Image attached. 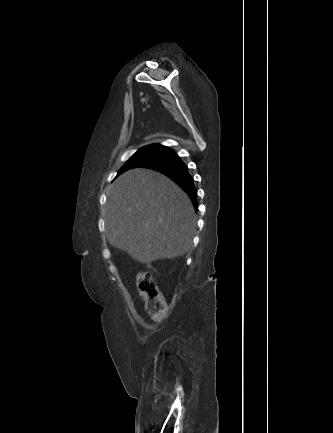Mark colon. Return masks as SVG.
I'll return each instance as SVG.
<instances>
[{"label":"colon","mask_w":333,"mask_h":433,"mask_svg":"<svg viewBox=\"0 0 333 433\" xmlns=\"http://www.w3.org/2000/svg\"><path fill=\"white\" fill-rule=\"evenodd\" d=\"M136 285L146 300V310L149 316L155 321H163L166 316V301L153 277L148 273H139Z\"/></svg>","instance_id":"obj_1"}]
</instances>
